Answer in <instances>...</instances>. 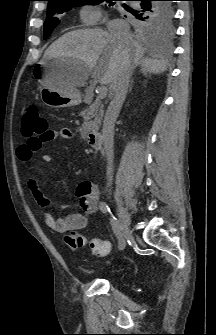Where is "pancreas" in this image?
Returning a JSON list of instances; mask_svg holds the SVG:
<instances>
[{
	"mask_svg": "<svg viewBox=\"0 0 216 335\" xmlns=\"http://www.w3.org/2000/svg\"><path fill=\"white\" fill-rule=\"evenodd\" d=\"M103 111L98 101L92 103L89 108L85 109L81 116L83 117V124L80 129L81 135L84 137L92 129L97 128L100 124Z\"/></svg>",
	"mask_w": 216,
	"mask_h": 335,
	"instance_id": "cf45deb5",
	"label": "pancreas"
}]
</instances>
